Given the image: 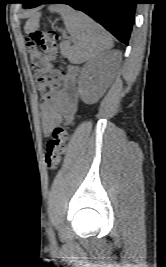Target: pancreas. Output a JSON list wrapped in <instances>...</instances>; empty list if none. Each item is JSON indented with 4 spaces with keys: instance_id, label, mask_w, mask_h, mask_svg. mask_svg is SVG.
Returning a JSON list of instances; mask_svg holds the SVG:
<instances>
[{
    "instance_id": "cf45deb5",
    "label": "pancreas",
    "mask_w": 166,
    "mask_h": 267,
    "mask_svg": "<svg viewBox=\"0 0 166 267\" xmlns=\"http://www.w3.org/2000/svg\"><path fill=\"white\" fill-rule=\"evenodd\" d=\"M60 49L63 55L67 54V50L69 49V44L67 42H63L60 44Z\"/></svg>"
}]
</instances>
